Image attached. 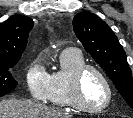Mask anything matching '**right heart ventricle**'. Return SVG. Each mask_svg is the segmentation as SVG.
I'll return each instance as SVG.
<instances>
[{
    "label": "right heart ventricle",
    "mask_w": 133,
    "mask_h": 118,
    "mask_svg": "<svg viewBox=\"0 0 133 118\" xmlns=\"http://www.w3.org/2000/svg\"><path fill=\"white\" fill-rule=\"evenodd\" d=\"M60 68L49 75V102L61 108H74L70 99V80L73 73L85 64L77 49H66L59 57Z\"/></svg>",
    "instance_id": "obj_1"
}]
</instances>
